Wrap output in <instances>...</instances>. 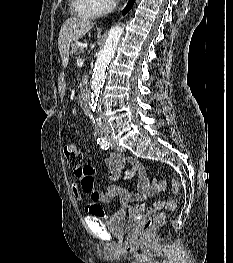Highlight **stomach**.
Segmentation results:
<instances>
[{
  "instance_id": "0dacf381",
  "label": "stomach",
  "mask_w": 233,
  "mask_h": 263,
  "mask_svg": "<svg viewBox=\"0 0 233 263\" xmlns=\"http://www.w3.org/2000/svg\"><path fill=\"white\" fill-rule=\"evenodd\" d=\"M55 81L59 82V84H58L59 91H67L68 88L71 87V84L68 83V81L66 80L65 77H56Z\"/></svg>"
}]
</instances>
